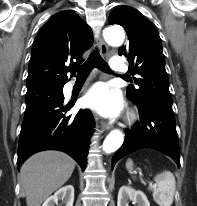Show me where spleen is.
<instances>
[{"mask_svg":"<svg viewBox=\"0 0 197 206\" xmlns=\"http://www.w3.org/2000/svg\"><path fill=\"white\" fill-rule=\"evenodd\" d=\"M126 168L129 172L133 169L132 159L126 162ZM157 186H150L153 191V199L159 206H171L174 199L176 181L174 175L170 171H164L154 178Z\"/></svg>","mask_w":197,"mask_h":206,"instance_id":"3e777b00","label":"spleen"}]
</instances>
